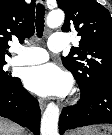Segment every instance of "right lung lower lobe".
<instances>
[{
  "instance_id": "obj_1",
  "label": "right lung lower lobe",
  "mask_w": 112,
  "mask_h": 135,
  "mask_svg": "<svg viewBox=\"0 0 112 135\" xmlns=\"http://www.w3.org/2000/svg\"><path fill=\"white\" fill-rule=\"evenodd\" d=\"M0 116L26 126L35 135H39V103L23 88L20 79L8 89L0 91Z\"/></svg>"
}]
</instances>
